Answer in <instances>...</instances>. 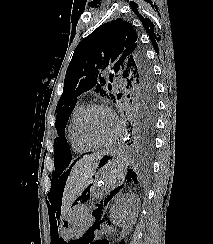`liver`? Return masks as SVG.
Returning <instances> with one entry per match:
<instances>
[{"instance_id": "obj_1", "label": "liver", "mask_w": 213, "mask_h": 244, "mask_svg": "<svg viewBox=\"0 0 213 244\" xmlns=\"http://www.w3.org/2000/svg\"><path fill=\"white\" fill-rule=\"evenodd\" d=\"M106 152L85 155L72 167L68 176L62 199V219L65 217L71 203L87 187L98 167V162Z\"/></svg>"}]
</instances>
